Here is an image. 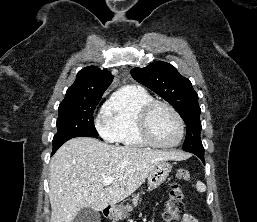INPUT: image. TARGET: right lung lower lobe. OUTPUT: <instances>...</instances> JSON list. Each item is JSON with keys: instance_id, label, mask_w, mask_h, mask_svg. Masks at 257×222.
I'll return each mask as SVG.
<instances>
[{"instance_id": "obj_1", "label": "right lung lower lobe", "mask_w": 257, "mask_h": 222, "mask_svg": "<svg viewBox=\"0 0 257 222\" xmlns=\"http://www.w3.org/2000/svg\"><path fill=\"white\" fill-rule=\"evenodd\" d=\"M58 148H53L52 155L57 151Z\"/></svg>"}]
</instances>
